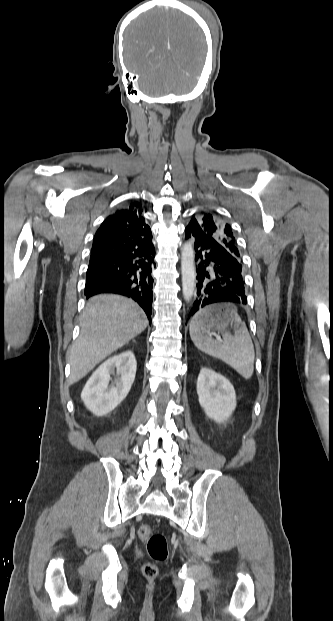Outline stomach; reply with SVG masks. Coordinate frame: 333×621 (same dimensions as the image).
I'll use <instances>...</instances> for the list:
<instances>
[{
  "mask_svg": "<svg viewBox=\"0 0 333 621\" xmlns=\"http://www.w3.org/2000/svg\"><path fill=\"white\" fill-rule=\"evenodd\" d=\"M239 316L236 308L229 304H216L208 307V314L203 317L206 331L217 330L221 326L232 325Z\"/></svg>",
  "mask_w": 333,
  "mask_h": 621,
  "instance_id": "stomach-1",
  "label": "stomach"
}]
</instances>
